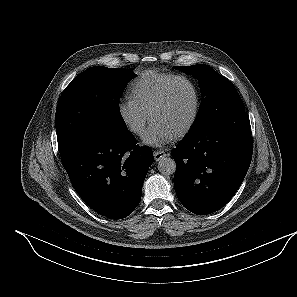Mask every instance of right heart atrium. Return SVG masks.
I'll list each match as a JSON object with an SVG mask.
<instances>
[{
	"label": "right heart atrium",
	"mask_w": 297,
	"mask_h": 297,
	"mask_svg": "<svg viewBox=\"0 0 297 297\" xmlns=\"http://www.w3.org/2000/svg\"><path fill=\"white\" fill-rule=\"evenodd\" d=\"M117 113L120 121L130 133L136 136L144 133L148 114L131 97L118 101Z\"/></svg>",
	"instance_id": "d8ad5b80"
}]
</instances>
